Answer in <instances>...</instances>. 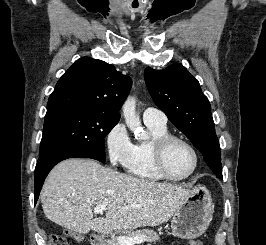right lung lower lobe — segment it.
Instances as JSON below:
<instances>
[{
	"instance_id": "1",
	"label": "right lung lower lobe",
	"mask_w": 266,
	"mask_h": 245,
	"mask_svg": "<svg viewBox=\"0 0 266 245\" xmlns=\"http://www.w3.org/2000/svg\"><path fill=\"white\" fill-rule=\"evenodd\" d=\"M68 158H92L95 159L93 156L81 153L77 151H69V150H59L48 153L42 157H39L36 168H35V204L38 200L42 185L44 180L50 170L60 161L68 159Z\"/></svg>"
}]
</instances>
